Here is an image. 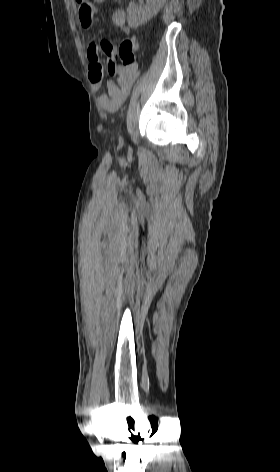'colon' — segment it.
Returning <instances> with one entry per match:
<instances>
[{
  "label": "colon",
  "instance_id": "5ec220e1",
  "mask_svg": "<svg viewBox=\"0 0 280 472\" xmlns=\"http://www.w3.org/2000/svg\"><path fill=\"white\" fill-rule=\"evenodd\" d=\"M135 51H136V46L130 38L123 40L118 50V55L120 59L122 60L123 65L131 66L136 63ZM108 72L110 75H115L116 64L114 62L108 63Z\"/></svg>",
  "mask_w": 280,
  "mask_h": 472
}]
</instances>
